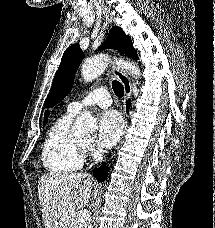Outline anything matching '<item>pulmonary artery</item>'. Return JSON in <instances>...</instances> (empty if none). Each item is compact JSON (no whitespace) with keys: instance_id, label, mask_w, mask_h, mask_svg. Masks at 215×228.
<instances>
[{"instance_id":"e3ab8cb5","label":"pulmonary artery","mask_w":215,"mask_h":228,"mask_svg":"<svg viewBox=\"0 0 215 228\" xmlns=\"http://www.w3.org/2000/svg\"><path fill=\"white\" fill-rule=\"evenodd\" d=\"M108 84H99V89H95L85 95L78 101H72L67 106V111L77 114L82 109L91 105H98L101 108H108L111 105V99L108 91Z\"/></svg>"}]
</instances>
